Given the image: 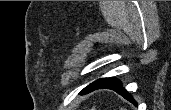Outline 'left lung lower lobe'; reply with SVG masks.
Returning <instances> with one entry per match:
<instances>
[{
	"label": "left lung lower lobe",
	"instance_id": "1",
	"mask_svg": "<svg viewBox=\"0 0 171 110\" xmlns=\"http://www.w3.org/2000/svg\"><path fill=\"white\" fill-rule=\"evenodd\" d=\"M101 88L112 89L116 91L117 93H119L120 95H122L125 99L137 105L136 101L133 99L130 93L125 88H123L120 81L115 78H103V79L96 80L95 82L85 87L80 92V94H86V93H89L96 89H101Z\"/></svg>",
	"mask_w": 171,
	"mask_h": 110
}]
</instances>
